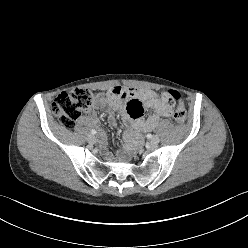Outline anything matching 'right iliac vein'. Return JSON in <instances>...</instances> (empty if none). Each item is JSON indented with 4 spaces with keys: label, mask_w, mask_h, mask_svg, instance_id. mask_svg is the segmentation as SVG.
Returning <instances> with one entry per match:
<instances>
[{
    "label": "right iliac vein",
    "mask_w": 248,
    "mask_h": 248,
    "mask_svg": "<svg viewBox=\"0 0 248 248\" xmlns=\"http://www.w3.org/2000/svg\"><path fill=\"white\" fill-rule=\"evenodd\" d=\"M87 141L90 143V144H93L96 142V138L92 135H89L88 138H87Z\"/></svg>",
    "instance_id": "obj_1"
}]
</instances>
